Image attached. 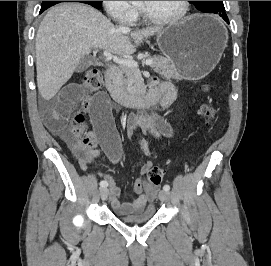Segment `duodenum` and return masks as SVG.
Returning a JSON list of instances; mask_svg holds the SVG:
<instances>
[{
    "mask_svg": "<svg viewBox=\"0 0 271 266\" xmlns=\"http://www.w3.org/2000/svg\"><path fill=\"white\" fill-rule=\"evenodd\" d=\"M106 87L118 104H133L143 109L154 106L166 94L162 89V86H158L153 83L150 90L142 96L137 97L127 94L121 85V73L119 68L116 66L109 68L106 73Z\"/></svg>",
    "mask_w": 271,
    "mask_h": 266,
    "instance_id": "duodenum-1",
    "label": "duodenum"
}]
</instances>
